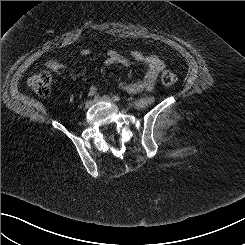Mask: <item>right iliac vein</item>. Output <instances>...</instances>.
<instances>
[{
	"instance_id": "1",
	"label": "right iliac vein",
	"mask_w": 245,
	"mask_h": 245,
	"mask_svg": "<svg viewBox=\"0 0 245 245\" xmlns=\"http://www.w3.org/2000/svg\"><path fill=\"white\" fill-rule=\"evenodd\" d=\"M92 105H93V101L92 100H88V101L85 102L84 108L85 109H89Z\"/></svg>"
}]
</instances>
